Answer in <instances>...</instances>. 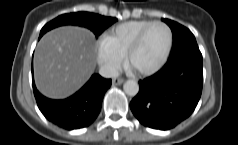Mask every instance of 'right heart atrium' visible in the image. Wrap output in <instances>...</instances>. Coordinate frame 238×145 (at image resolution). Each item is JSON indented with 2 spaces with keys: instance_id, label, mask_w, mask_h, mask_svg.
<instances>
[{
  "instance_id": "obj_1",
  "label": "right heart atrium",
  "mask_w": 238,
  "mask_h": 145,
  "mask_svg": "<svg viewBox=\"0 0 238 145\" xmlns=\"http://www.w3.org/2000/svg\"><path fill=\"white\" fill-rule=\"evenodd\" d=\"M97 60L107 75H114L122 65V57L102 40L98 45Z\"/></svg>"
}]
</instances>
